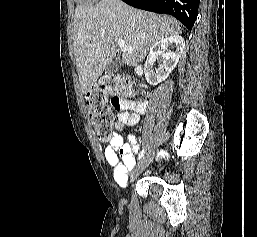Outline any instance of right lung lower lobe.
<instances>
[{
	"label": "right lung lower lobe",
	"instance_id": "98d812e1",
	"mask_svg": "<svg viewBox=\"0 0 257 237\" xmlns=\"http://www.w3.org/2000/svg\"><path fill=\"white\" fill-rule=\"evenodd\" d=\"M125 3L155 13L170 14L190 31L198 15L200 0H122Z\"/></svg>",
	"mask_w": 257,
	"mask_h": 237
}]
</instances>
